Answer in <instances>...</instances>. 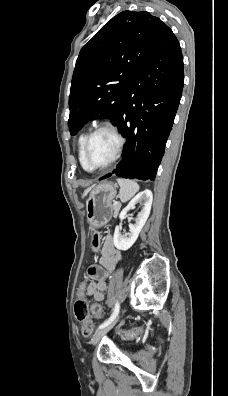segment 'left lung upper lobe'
I'll use <instances>...</instances> for the list:
<instances>
[{
	"label": "left lung upper lobe",
	"mask_w": 228,
	"mask_h": 396,
	"mask_svg": "<svg viewBox=\"0 0 228 396\" xmlns=\"http://www.w3.org/2000/svg\"><path fill=\"white\" fill-rule=\"evenodd\" d=\"M165 26L146 11H123L81 49L69 96L71 135L90 119L109 118L116 125L129 87Z\"/></svg>",
	"instance_id": "left-lung-upper-lobe-1"
}]
</instances>
